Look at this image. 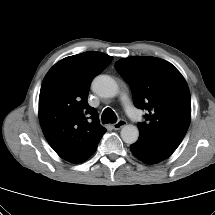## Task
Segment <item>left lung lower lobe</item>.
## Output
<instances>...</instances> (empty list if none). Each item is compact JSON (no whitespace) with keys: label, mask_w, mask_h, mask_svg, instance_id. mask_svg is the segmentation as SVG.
<instances>
[{"label":"left lung lower lobe","mask_w":215,"mask_h":215,"mask_svg":"<svg viewBox=\"0 0 215 215\" xmlns=\"http://www.w3.org/2000/svg\"><path fill=\"white\" fill-rule=\"evenodd\" d=\"M130 149L137 159L147 164L159 163L167 159L173 153V151L155 145L141 137L130 146Z\"/></svg>","instance_id":"left-lung-lower-lobe-1"}]
</instances>
